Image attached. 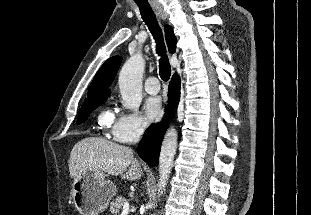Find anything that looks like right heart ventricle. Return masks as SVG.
I'll use <instances>...</instances> for the list:
<instances>
[{
    "label": "right heart ventricle",
    "mask_w": 311,
    "mask_h": 215,
    "mask_svg": "<svg viewBox=\"0 0 311 215\" xmlns=\"http://www.w3.org/2000/svg\"><path fill=\"white\" fill-rule=\"evenodd\" d=\"M110 114H111V113H110L109 111H104V112H102L101 115H100V121H101V119H102L103 117L108 116V115H110Z\"/></svg>",
    "instance_id": "obj_1"
}]
</instances>
